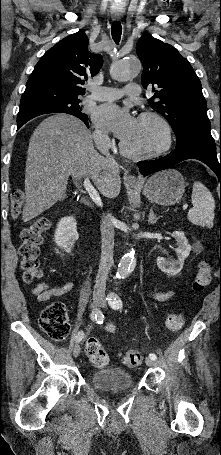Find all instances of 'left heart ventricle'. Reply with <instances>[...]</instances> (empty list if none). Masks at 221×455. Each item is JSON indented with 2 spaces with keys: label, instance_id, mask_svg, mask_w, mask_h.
Returning a JSON list of instances; mask_svg holds the SVG:
<instances>
[{
  "label": "left heart ventricle",
  "instance_id": "b2bd125f",
  "mask_svg": "<svg viewBox=\"0 0 221 455\" xmlns=\"http://www.w3.org/2000/svg\"><path fill=\"white\" fill-rule=\"evenodd\" d=\"M163 141L162 130L153 119H138L133 134L123 142L132 150H151Z\"/></svg>",
  "mask_w": 221,
  "mask_h": 455
}]
</instances>
